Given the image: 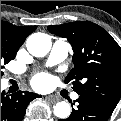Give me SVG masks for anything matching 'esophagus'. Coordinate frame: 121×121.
<instances>
[{
	"label": "esophagus",
	"instance_id": "34e87169",
	"mask_svg": "<svg viewBox=\"0 0 121 121\" xmlns=\"http://www.w3.org/2000/svg\"><path fill=\"white\" fill-rule=\"evenodd\" d=\"M46 100H47L48 102H51V103H56V102L58 101V99L55 98V97L52 96V95L47 96V97H46Z\"/></svg>",
	"mask_w": 121,
	"mask_h": 121
}]
</instances>
